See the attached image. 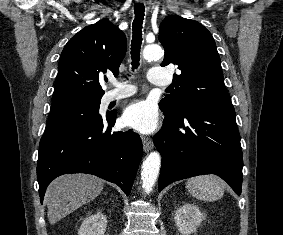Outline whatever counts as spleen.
Segmentation results:
<instances>
[{"mask_svg":"<svg viewBox=\"0 0 283 235\" xmlns=\"http://www.w3.org/2000/svg\"><path fill=\"white\" fill-rule=\"evenodd\" d=\"M186 188L193 197L203 201H216L224 195V183L215 175L190 178Z\"/></svg>","mask_w":283,"mask_h":235,"instance_id":"1","label":"spleen"}]
</instances>
